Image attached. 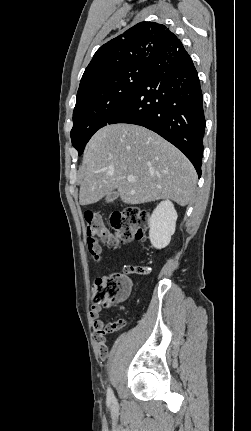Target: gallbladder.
<instances>
[{"label":"gallbladder","instance_id":"bac80fb5","mask_svg":"<svg viewBox=\"0 0 251 431\" xmlns=\"http://www.w3.org/2000/svg\"><path fill=\"white\" fill-rule=\"evenodd\" d=\"M118 197H119L118 193L113 192V193H111V194H109V195H107V196H106V202H107V203H111V202H113L115 199H117Z\"/></svg>","mask_w":251,"mask_h":431}]
</instances>
